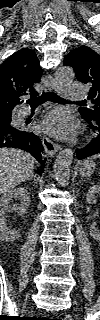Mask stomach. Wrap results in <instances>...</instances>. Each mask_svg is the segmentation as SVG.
Returning <instances> with one entry per match:
<instances>
[{"label": "stomach", "instance_id": "obj_1", "mask_svg": "<svg viewBox=\"0 0 100 320\" xmlns=\"http://www.w3.org/2000/svg\"><path fill=\"white\" fill-rule=\"evenodd\" d=\"M95 166V162L92 160H86L79 164L78 171L82 177H89L94 172Z\"/></svg>", "mask_w": 100, "mask_h": 320}]
</instances>
